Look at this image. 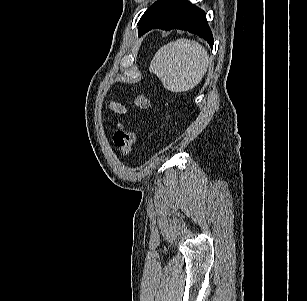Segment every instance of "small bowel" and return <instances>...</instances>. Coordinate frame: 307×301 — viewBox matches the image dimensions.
Listing matches in <instances>:
<instances>
[{"instance_id": "c3829d8e", "label": "small bowel", "mask_w": 307, "mask_h": 301, "mask_svg": "<svg viewBox=\"0 0 307 301\" xmlns=\"http://www.w3.org/2000/svg\"><path fill=\"white\" fill-rule=\"evenodd\" d=\"M110 109L119 114L125 113V108L119 103H111Z\"/></svg>"}]
</instances>
